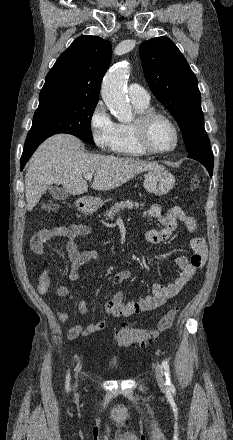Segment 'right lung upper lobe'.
<instances>
[{"instance_id": "cb5924a9", "label": "right lung upper lobe", "mask_w": 233, "mask_h": 440, "mask_svg": "<svg viewBox=\"0 0 233 440\" xmlns=\"http://www.w3.org/2000/svg\"><path fill=\"white\" fill-rule=\"evenodd\" d=\"M111 50V43L98 36L75 39L47 74L39 103L55 98L98 101Z\"/></svg>"}]
</instances>
